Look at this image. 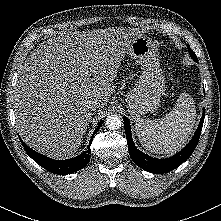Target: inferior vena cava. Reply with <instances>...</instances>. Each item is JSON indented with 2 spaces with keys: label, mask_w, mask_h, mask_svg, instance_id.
Returning a JSON list of instances; mask_svg holds the SVG:
<instances>
[{
  "label": "inferior vena cava",
  "mask_w": 221,
  "mask_h": 221,
  "mask_svg": "<svg viewBox=\"0 0 221 221\" xmlns=\"http://www.w3.org/2000/svg\"><path fill=\"white\" fill-rule=\"evenodd\" d=\"M102 106H103V104L98 100H90L87 102V108L92 111L96 110L97 108H100Z\"/></svg>",
  "instance_id": "inferior-vena-cava-1"
}]
</instances>
